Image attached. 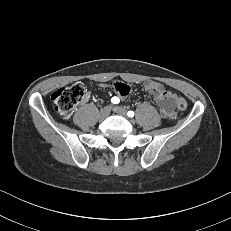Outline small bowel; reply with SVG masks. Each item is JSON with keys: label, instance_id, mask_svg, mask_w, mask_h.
Returning a JSON list of instances; mask_svg holds the SVG:
<instances>
[{"label": "small bowel", "instance_id": "small-bowel-1", "mask_svg": "<svg viewBox=\"0 0 231 231\" xmlns=\"http://www.w3.org/2000/svg\"><path fill=\"white\" fill-rule=\"evenodd\" d=\"M110 86L121 96H126L130 91L129 86L124 83L113 82L110 84ZM144 87L145 90L152 95L155 102L159 105L161 116L167 120L174 119L176 113L174 111L172 102L175 98V95L172 92L166 90L161 83L155 81L145 82Z\"/></svg>", "mask_w": 231, "mask_h": 231}]
</instances>
